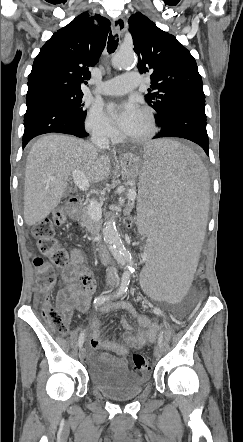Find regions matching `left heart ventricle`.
Here are the masks:
<instances>
[{
	"mask_svg": "<svg viewBox=\"0 0 243 442\" xmlns=\"http://www.w3.org/2000/svg\"><path fill=\"white\" fill-rule=\"evenodd\" d=\"M150 130L148 116L144 112H140L133 126L126 132V136L139 137L146 134Z\"/></svg>",
	"mask_w": 243,
	"mask_h": 442,
	"instance_id": "obj_1",
	"label": "left heart ventricle"
}]
</instances>
